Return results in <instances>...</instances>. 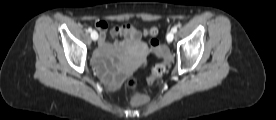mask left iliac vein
<instances>
[{
	"label": "left iliac vein",
	"instance_id": "obj_1",
	"mask_svg": "<svg viewBox=\"0 0 276 120\" xmlns=\"http://www.w3.org/2000/svg\"><path fill=\"white\" fill-rule=\"evenodd\" d=\"M173 38H174L173 32H169V33L167 34V41H168V42H172Z\"/></svg>",
	"mask_w": 276,
	"mask_h": 120
}]
</instances>
